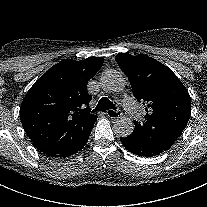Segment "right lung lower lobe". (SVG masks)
I'll list each match as a JSON object with an SVG mask.
<instances>
[{
    "label": "right lung lower lobe",
    "mask_w": 207,
    "mask_h": 207,
    "mask_svg": "<svg viewBox=\"0 0 207 207\" xmlns=\"http://www.w3.org/2000/svg\"><path fill=\"white\" fill-rule=\"evenodd\" d=\"M93 125L91 126L89 131L85 134V136L77 144H75L72 148L67 150V152H65L61 155H57L55 157L65 158V157H68V156H71V155L77 153L80 149H82L88 141V138H89V135H90L91 130L93 128Z\"/></svg>",
    "instance_id": "1"
}]
</instances>
